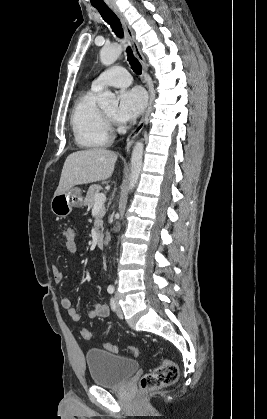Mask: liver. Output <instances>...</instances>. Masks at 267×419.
I'll return each mask as SVG.
<instances>
[{
    "label": "liver",
    "instance_id": "6515ba94",
    "mask_svg": "<svg viewBox=\"0 0 267 419\" xmlns=\"http://www.w3.org/2000/svg\"><path fill=\"white\" fill-rule=\"evenodd\" d=\"M117 154L105 148H92L71 153L65 160L55 194L75 185L88 184L111 177Z\"/></svg>",
    "mask_w": 267,
    "mask_h": 419
}]
</instances>
